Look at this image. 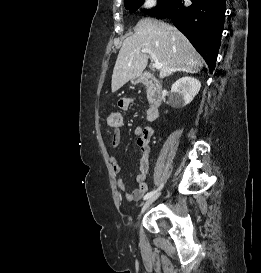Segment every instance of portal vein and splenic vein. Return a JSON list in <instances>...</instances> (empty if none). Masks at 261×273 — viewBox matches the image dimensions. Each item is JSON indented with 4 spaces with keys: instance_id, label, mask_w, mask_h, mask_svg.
I'll return each mask as SVG.
<instances>
[{
    "instance_id": "portal-vein-and-splenic-vein-1",
    "label": "portal vein and splenic vein",
    "mask_w": 261,
    "mask_h": 273,
    "mask_svg": "<svg viewBox=\"0 0 261 273\" xmlns=\"http://www.w3.org/2000/svg\"><path fill=\"white\" fill-rule=\"evenodd\" d=\"M141 52L142 53H148L150 56H151V60L154 62L153 63V66L156 68V69H161L162 68V63H160L156 57V55L148 48H143L141 49Z\"/></svg>"
}]
</instances>
